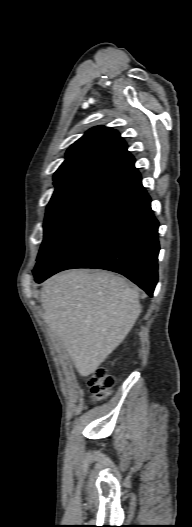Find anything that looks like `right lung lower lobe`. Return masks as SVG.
<instances>
[{
	"mask_svg": "<svg viewBox=\"0 0 192 527\" xmlns=\"http://www.w3.org/2000/svg\"><path fill=\"white\" fill-rule=\"evenodd\" d=\"M134 162L108 181L36 264L37 283L72 268L120 273L150 296L157 284L158 221Z\"/></svg>",
	"mask_w": 192,
	"mask_h": 527,
	"instance_id": "98d812e1",
	"label": "right lung lower lobe"
}]
</instances>
